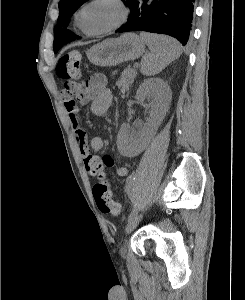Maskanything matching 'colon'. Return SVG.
Segmentation results:
<instances>
[{"mask_svg": "<svg viewBox=\"0 0 245 300\" xmlns=\"http://www.w3.org/2000/svg\"><path fill=\"white\" fill-rule=\"evenodd\" d=\"M81 55L78 51H70L62 55L56 65V74L64 82L62 96L64 99L81 90L79 78ZM93 197L100 212L116 215L120 212L119 203L112 200L109 190H93Z\"/></svg>", "mask_w": 245, "mask_h": 300, "instance_id": "obj_1", "label": "colon"}]
</instances>
